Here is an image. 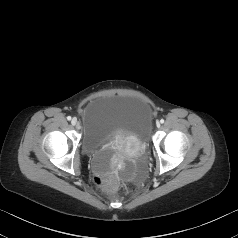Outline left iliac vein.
<instances>
[{"instance_id":"obj_1","label":"left iliac vein","mask_w":238,"mask_h":238,"mask_svg":"<svg viewBox=\"0 0 238 238\" xmlns=\"http://www.w3.org/2000/svg\"><path fill=\"white\" fill-rule=\"evenodd\" d=\"M156 126L159 128V127H160V123H159V122H156Z\"/></svg>"}]
</instances>
